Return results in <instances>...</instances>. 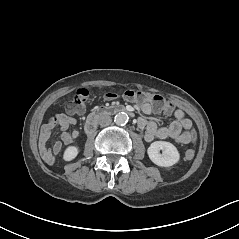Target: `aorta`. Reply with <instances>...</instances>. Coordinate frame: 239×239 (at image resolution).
Listing matches in <instances>:
<instances>
[{
	"label": "aorta",
	"mask_w": 239,
	"mask_h": 239,
	"mask_svg": "<svg viewBox=\"0 0 239 239\" xmlns=\"http://www.w3.org/2000/svg\"><path fill=\"white\" fill-rule=\"evenodd\" d=\"M116 125L124 126L128 123V115L124 112L117 113L114 117Z\"/></svg>",
	"instance_id": "obj_1"
}]
</instances>
